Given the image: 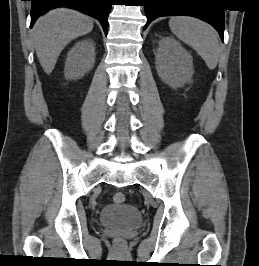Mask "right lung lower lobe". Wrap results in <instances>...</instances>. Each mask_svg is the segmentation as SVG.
I'll return each mask as SVG.
<instances>
[{"label": "right lung lower lobe", "mask_w": 259, "mask_h": 266, "mask_svg": "<svg viewBox=\"0 0 259 266\" xmlns=\"http://www.w3.org/2000/svg\"><path fill=\"white\" fill-rule=\"evenodd\" d=\"M31 27L36 19L57 7H68L81 11L98 19L104 29L108 32V15L111 10L112 0H31Z\"/></svg>", "instance_id": "right-lung-lower-lobe-1"}]
</instances>
